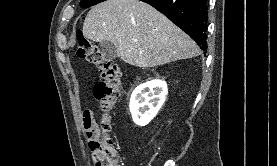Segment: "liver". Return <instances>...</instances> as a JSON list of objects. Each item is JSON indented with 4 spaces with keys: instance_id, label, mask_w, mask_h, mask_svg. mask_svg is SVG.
Listing matches in <instances>:
<instances>
[{
    "instance_id": "1",
    "label": "liver",
    "mask_w": 277,
    "mask_h": 166,
    "mask_svg": "<svg viewBox=\"0 0 277 166\" xmlns=\"http://www.w3.org/2000/svg\"><path fill=\"white\" fill-rule=\"evenodd\" d=\"M83 35L112 42L117 56L140 68L196 57V43L167 17L139 0H106L92 7Z\"/></svg>"
}]
</instances>
